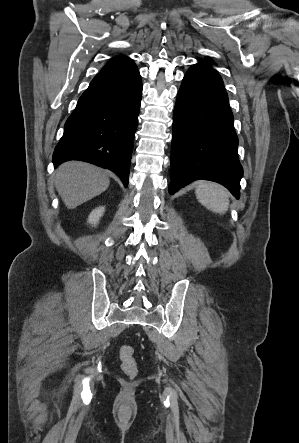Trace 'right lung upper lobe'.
<instances>
[{
	"label": "right lung upper lobe",
	"instance_id": "cb5924a9",
	"mask_svg": "<svg viewBox=\"0 0 299 443\" xmlns=\"http://www.w3.org/2000/svg\"><path fill=\"white\" fill-rule=\"evenodd\" d=\"M136 67L132 59L128 57H117L106 64L101 71L112 72V71H122L128 70Z\"/></svg>",
	"mask_w": 299,
	"mask_h": 443
}]
</instances>
